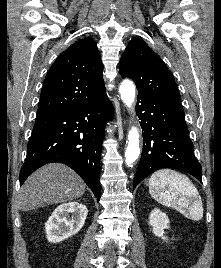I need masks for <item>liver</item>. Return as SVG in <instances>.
I'll return each mask as SVG.
<instances>
[{
    "instance_id": "6515ba94",
    "label": "liver",
    "mask_w": 221,
    "mask_h": 268,
    "mask_svg": "<svg viewBox=\"0 0 221 268\" xmlns=\"http://www.w3.org/2000/svg\"><path fill=\"white\" fill-rule=\"evenodd\" d=\"M85 183L69 167L53 163L27 178L18 196V208L30 211L47 205L72 201L85 192Z\"/></svg>"
}]
</instances>
